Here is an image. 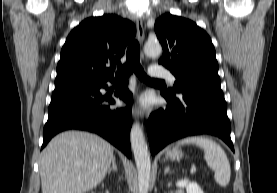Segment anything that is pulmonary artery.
I'll return each mask as SVG.
<instances>
[{
  "label": "pulmonary artery",
  "instance_id": "obj_1",
  "mask_svg": "<svg viewBox=\"0 0 277 193\" xmlns=\"http://www.w3.org/2000/svg\"><path fill=\"white\" fill-rule=\"evenodd\" d=\"M149 73L153 78H164L169 80L172 83L176 81L175 76L171 72L156 66L150 67Z\"/></svg>",
  "mask_w": 277,
  "mask_h": 193
}]
</instances>
